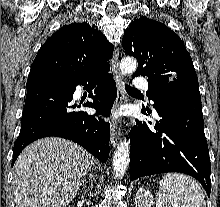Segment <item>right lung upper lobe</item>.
Here are the masks:
<instances>
[{
    "label": "right lung upper lobe",
    "instance_id": "right-lung-upper-lobe-1",
    "mask_svg": "<svg viewBox=\"0 0 220 207\" xmlns=\"http://www.w3.org/2000/svg\"><path fill=\"white\" fill-rule=\"evenodd\" d=\"M113 49L94 24L70 23L49 37L39 49L28 77L50 74L82 79L100 67H110L108 61Z\"/></svg>",
    "mask_w": 220,
    "mask_h": 207
}]
</instances>
